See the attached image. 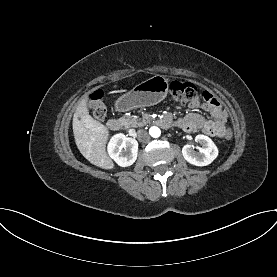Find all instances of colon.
<instances>
[{
    "mask_svg": "<svg viewBox=\"0 0 277 277\" xmlns=\"http://www.w3.org/2000/svg\"><path fill=\"white\" fill-rule=\"evenodd\" d=\"M171 96L177 103L186 104L198 99L197 88L189 82L174 80L170 85ZM89 108L98 121H103L107 115V107L102 100V94L97 91L94 92L89 99ZM234 137V130L229 126L224 130V139L227 142L232 141Z\"/></svg>",
    "mask_w": 277,
    "mask_h": 277,
    "instance_id": "colon-1",
    "label": "colon"
}]
</instances>
